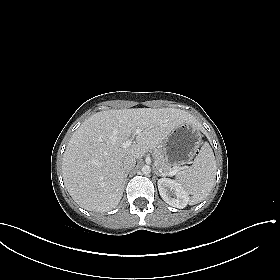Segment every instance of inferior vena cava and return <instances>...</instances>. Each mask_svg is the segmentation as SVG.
Here are the masks:
<instances>
[{"instance_id": "obj_1", "label": "inferior vena cava", "mask_w": 280, "mask_h": 280, "mask_svg": "<svg viewBox=\"0 0 280 280\" xmlns=\"http://www.w3.org/2000/svg\"><path fill=\"white\" fill-rule=\"evenodd\" d=\"M136 164V159L132 156H126L123 160V167L125 172H128L129 170L133 169Z\"/></svg>"}]
</instances>
